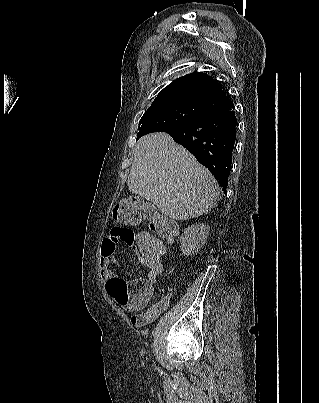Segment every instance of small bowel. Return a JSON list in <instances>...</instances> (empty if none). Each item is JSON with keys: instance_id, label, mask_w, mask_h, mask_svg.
Returning a JSON list of instances; mask_svg holds the SVG:
<instances>
[{"instance_id": "c3829d8e", "label": "small bowel", "mask_w": 319, "mask_h": 403, "mask_svg": "<svg viewBox=\"0 0 319 403\" xmlns=\"http://www.w3.org/2000/svg\"><path fill=\"white\" fill-rule=\"evenodd\" d=\"M134 237L135 230L131 229L130 224H112L110 229H105L104 236L99 237V271L101 278L108 283L107 293L112 296L113 305H118L123 315H130L131 324L140 328L155 320L167 308L168 300H161L147 308L149 300H152V284L162 271L160 258H142L143 269L139 274L148 270V279L117 278L111 269L118 249L137 248ZM141 309L146 310L140 315Z\"/></svg>"}]
</instances>
